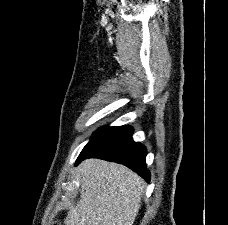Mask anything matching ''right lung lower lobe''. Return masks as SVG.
<instances>
[{
    "instance_id": "obj_1",
    "label": "right lung lower lobe",
    "mask_w": 228,
    "mask_h": 225,
    "mask_svg": "<svg viewBox=\"0 0 228 225\" xmlns=\"http://www.w3.org/2000/svg\"><path fill=\"white\" fill-rule=\"evenodd\" d=\"M132 134L129 126L100 128L80 153L76 165L87 158H100L124 164L149 182L146 149L132 140Z\"/></svg>"
}]
</instances>
